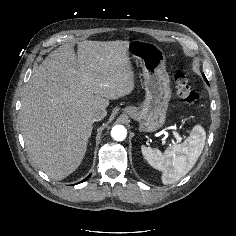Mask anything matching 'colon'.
Here are the masks:
<instances>
[{"label": "colon", "mask_w": 236, "mask_h": 236, "mask_svg": "<svg viewBox=\"0 0 236 236\" xmlns=\"http://www.w3.org/2000/svg\"><path fill=\"white\" fill-rule=\"evenodd\" d=\"M175 81L179 98L187 105H194L199 100V94L191 88L186 73L182 70L177 71Z\"/></svg>", "instance_id": "colon-1"}]
</instances>
